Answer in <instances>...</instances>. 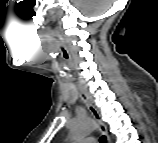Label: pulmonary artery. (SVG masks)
<instances>
[{"label":"pulmonary artery","mask_w":158,"mask_h":143,"mask_svg":"<svg viewBox=\"0 0 158 143\" xmlns=\"http://www.w3.org/2000/svg\"><path fill=\"white\" fill-rule=\"evenodd\" d=\"M87 141L90 142V143H91V142H94V138H91V137H90V138H87Z\"/></svg>","instance_id":"1"}]
</instances>
